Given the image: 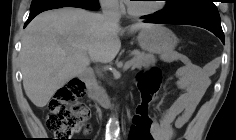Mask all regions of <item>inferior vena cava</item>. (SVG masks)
Segmentation results:
<instances>
[{
	"label": "inferior vena cava",
	"instance_id": "inferior-vena-cava-1",
	"mask_svg": "<svg viewBox=\"0 0 236 140\" xmlns=\"http://www.w3.org/2000/svg\"><path fill=\"white\" fill-rule=\"evenodd\" d=\"M102 13L104 19L109 23H118L120 14L118 13L117 6L111 2H105L102 5Z\"/></svg>",
	"mask_w": 236,
	"mask_h": 140
}]
</instances>
